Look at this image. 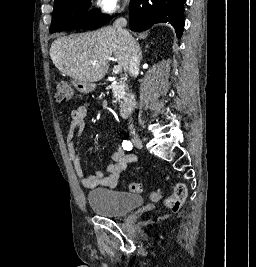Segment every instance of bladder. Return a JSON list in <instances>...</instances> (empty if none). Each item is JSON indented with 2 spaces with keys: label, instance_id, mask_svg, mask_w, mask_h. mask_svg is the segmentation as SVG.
Listing matches in <instances>:
<instances>
[{
  "label": "bladder",
  "instance_id": "obj_1",
  "mask_svg": "<svg viewBox=\"0 0 256 267\" xmlns=\"http://www.w3.org/2000/svg\"><path fill=\"white\" fill-rule=\"evenodd\" d=\"M143 200L141 195H129L126 192L110 189H97L88 193L87 196V201L93 211L99 215L113 217L133 211L143 204Z\"/></svg>",
  "mask_w": 256,
  "mask_h": 267
}]
</instances>
